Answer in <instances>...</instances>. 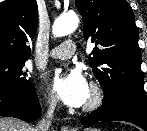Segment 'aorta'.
<instances>
[{"label":"aorta","instance_id":"obj_1","mask_svg":"<svg viewBox=\"0 0 147 131\" xmlns=\"http://www.w3.org/2000/svg\"><path fill=\"white\" fill-rule=\"evenodd\" d=\"M79 19L75 13H67L60 16L53 24L52 32L56 37L71 34L78 26Z\"/></svg>","mask_w":147,"mask_h":131}]
</instances>
